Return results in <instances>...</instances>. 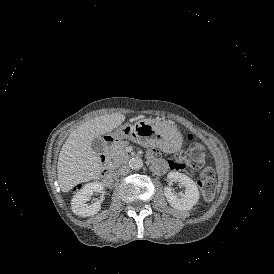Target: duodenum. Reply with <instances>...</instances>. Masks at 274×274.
<instances>
[{
  "mask_svg": "<svg viewBox=\"0 0 274 274\" xmlns=\"http://www.w3.org/2000/svg\"><path fill=\"white\" fill-rule=\"evenodd\" d=\"M116 137L114 136H108L105 138V146H109L113 143L116 142ZM100 162L103 166V171H104V175L106 177V179H113L115 177V172L112 168V166L110 165V163L108 162L107 156L103 153L100 155ZM154 168L158 171V172H163L165 170V165L161 162L155 163L154 164Z\"/></svg>",
  "mask_w": 274,
  "mask_h": 274,
  "instance_id": "1",
  "label": "duodenum"
}]
</instances>
